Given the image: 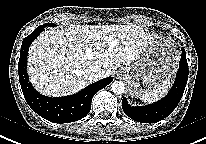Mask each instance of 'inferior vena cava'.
Listing matches in <instances>:
<instances>
[{"mask_svg":"<svg viewBox=\"0 0 206 144\" xmlns=\"http://www.w3.org/2000/svg\"><path fill=\"white\" fill-rule=\"evenodd\" d=\"M86 73L88 77L93 81H97L103 76L102 69L97 66H91L86 70Z\"/></svg>","mask_w":206,"mask_h":144,"instance_id":"inferior-vena-cava-1","label":"inferior vena cava"}]
</instances>
